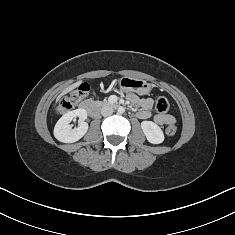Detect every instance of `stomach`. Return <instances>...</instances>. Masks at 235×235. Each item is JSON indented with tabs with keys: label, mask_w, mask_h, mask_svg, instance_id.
Masks as SVG:
<instances>
[{
	"label": "stomach",
	"mask_w": 235,
	"mask_h": 235,
	"mask_svg": "<svg viewBox=\"0 0 235 235\" xmlns=\"http://www.w3.org/2000/svg\"><path fill=\"white\" fill-rule=\"evenodd\" d=\"M119 88L124 92H135L138 95H146L151 91V84L145 80L132 78V77H121L118 80Z\"/></svg>",
	"instance_id": "stomach-1"
}]
</instances>
